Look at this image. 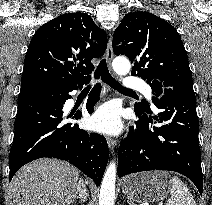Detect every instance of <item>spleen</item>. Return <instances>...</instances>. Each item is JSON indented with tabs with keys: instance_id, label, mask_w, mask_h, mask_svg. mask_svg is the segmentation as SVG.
<instances>
[{
	"instance_id": "3e777b00",
	"label": "spleen",
	"mask_w": 212,
	"mask_h": 205,
	"mask_svg": "<svg viewBox=\"0 0 212 205\" xmlns=\"http://www.w3.org/2000/svg\"><path fill=\"white\" fill-rule=\"evenodd\" d=\"M170 195L166 205H196L191 192L177 176L171 179Z\"/></svg>"
}]
</instances>
